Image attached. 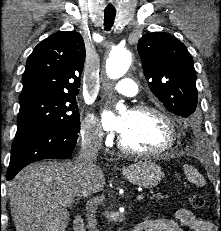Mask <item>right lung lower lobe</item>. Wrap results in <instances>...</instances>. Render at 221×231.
<instances>
[{"mask_svg": "<svg viewBox=\"0 0 221 231\" xmlns=\"http://www.w3.org/2000/svg\"><path fill=\"white\" fill-rule=\"evenodd\" d=\"M78 132L47 125L32 126L15 136L6 178L11 180L26 165L50 158H68L76 146Z\"/></svg>", "mask_w": 221, "mask_h": 231, "instance_id": "1", "label": "right lung lower lobe"}]
</instances>
